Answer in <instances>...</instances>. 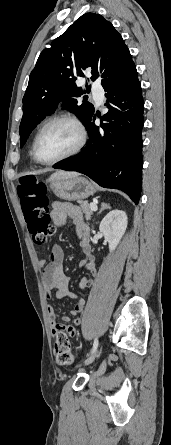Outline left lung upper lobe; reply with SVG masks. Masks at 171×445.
Returning a JSON list of instances; mask_svg holds the SVG:
<instances>
[{
    "mask_svg": "<svg viewBox=\"0 0 171 445\" xmlns=\"http://www.w3.org/2000/svg\"><path fill=\"white\" fill-rule=\"evenodd\" d=\"M133 63L129 49L113 25L99 14L86 13L44 49L30 74L23 97L19 134L22 147L31 131L59 104L86 123L94 113L91 103L77 100L86 91L77 77L91 71V80L102 86L115 73ZM87 90L90 86L86 84ZM85 97V96H84Z\"/></svg>",
    "mask_w": 171,
    "mask_h": 445,
    "instance_id": "5c2ea615",
    "label": "left lung upper lobe"
}]
</instances>
